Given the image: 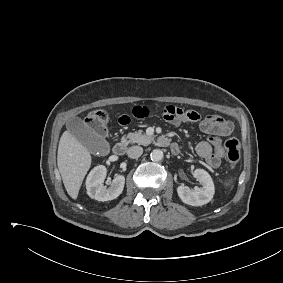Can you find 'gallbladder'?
I'll return each instance as SVG.
<instances>
[{
  "label": "gallbladder",
  "instance_id": "1",
  "mask_svg": "<svg viewBox=\"0 0 283 283\" xmlns=\"http://www.w3.org/2000/svg\"><path fill=\"white\" fill-rule=\"evenodd\" d=\"M69 132L92 154L104 156L110 151L105 138L90 129L80 118H73L67 124Z\"/></svg>",
  "mask_w": 283,
  "mask_h": 283
}]
</instances>
